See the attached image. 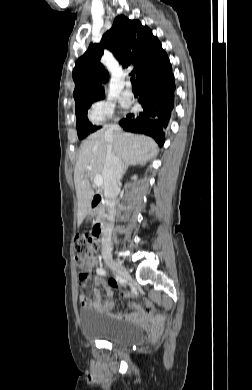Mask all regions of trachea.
Listing matches in <instances>:
<instances>
[{
  "mask_svg": "<svg viewBox=\"0 0 252 390\" xmlns=\"http://www.w3.org/2000/svg\"><path fill=\"white\" fill-rule=\"evenodd\" d=\"M131 83H132V87L133 88H137L138 86H137V82H136V80H135V75H132L131 76Z\"/></svg>",
  "mask_w": 252,
  "mask_h": 390,
  "instance_id": "3493384b",
  "label": "trachea"
}]
</instances>
